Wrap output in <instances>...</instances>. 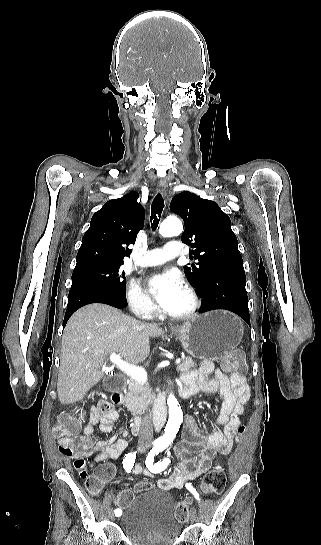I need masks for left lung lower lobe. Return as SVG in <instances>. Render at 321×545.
Instances as JSON below:
<instances>
[{
	"instance_id": "1",
	"label": "left lung lower lobe",
	"mask_w": 321,
	"mask_h": 545,
	"mask_svg": "<svg viewBox=\"0 0 321 545\" xmlns=\"http://www.w3.org/2000/svg\"><path fill=\"white\" fill-rule=\"evenodd\" d=\"M245 285L243 263L223 266L213 271L199 288L202 296L199 312L215 309L229 310L250 325Z\"/></svg>"
}]
</instances>
